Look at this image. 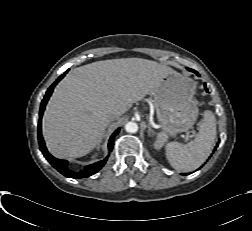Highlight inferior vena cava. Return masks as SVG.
<instances>
[{
  "label": "inferior vena cava",
  "instance_id": "obj_1",
  "mask_svg": "<svg viewBox=\"0 0 252 231\" xmlns=\"http://www.w3.org/2000/svg\"><path fill=\"white\" fill-rule=\"evenodd\" d=\"M114 119H116V115H115V114H110V115L108 116V120H109V121H113Z\"/></svg>",
  "mask_w": 252,
  "mask_h": 231
}]
</instances>
